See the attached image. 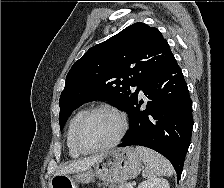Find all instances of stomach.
Segmentation results:
<instances>
[{
  "instance_id": "obj_1",
  "label": "stomach",
  "mask_w": 224,
  "mask_h": 188,
  "mask_svg": "<svg viewBox=\"0 0 224 188\" xmlns=\"http://www.w3.org/2000/svg\"><path fill=\"white\" fill-rule=\"evenodd\" d=\"M141 167L142 158L133 147L116 148L106 152L93 168L55 175L50 188H78V183H89L95 176L107 183H121L137 177Z\"/></svg>"
}]
</instances>
